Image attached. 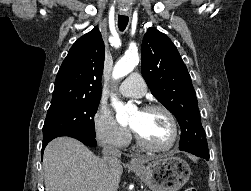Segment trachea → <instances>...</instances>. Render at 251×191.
Masks as SVG:
<instances>
[{"mask_svg": "<svg viewBox=\"0 0 251 191\" xmlns=\"http://www.w3.org/2000/svg\"><path fill=\"white\" fill-rule=\"evenodd\" d=\"M128 21H129V17L125 15L118 16V28L120 31L125 30V28L127 27Z\"/></svg>", "mask_w": 251, "mask_h": 191, "instance_id": "obj_1", "label": "trachea"}]
</instances>
